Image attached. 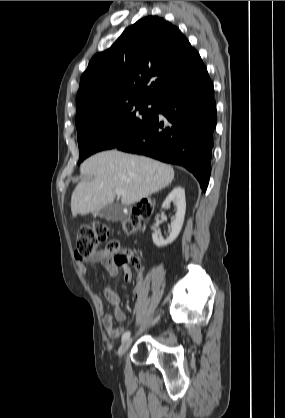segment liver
I'll return each mask as SVG.
<instances>
[{
  "mask_svg": "<svg viewBox=\"0 0 285 418\" xmlns=\"http://www.w3.org/2000/svg\"><path fill=\"white\" fill-rule=\"evenodd\" d=\"M81 174L93 176L90 182H80L71 197L73 216L98 211L114 201L119 189L121 203L131 205L168 186L174 169L145 156L117 150L97 153L86 159Z\"/></svg>",
  "mask_w": 285,
  "mask_h": 418,
  "instance_id": "liver-1",
  "label": "liver"
}]
</instances>
